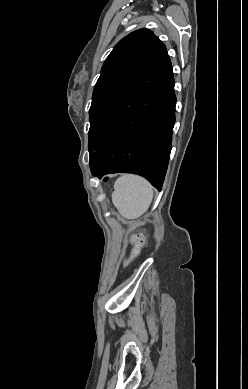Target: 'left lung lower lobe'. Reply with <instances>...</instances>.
Listing matches in <instances>:
<instances>
[{"mask_svg": "<svg viewBox=\"0 0 248 389\" xmlns=\"http://www.w3.org/2000/svg\"><path fill=\"white\" fill-rule=\"evenodd\" d=\"M176 96L172 65L165 51L94 122L107 139L89 156L93 175L124 172L145 177L161 190L171 152Z\"/></svg>", "mask_w": 248, "mask_h": 389, "instance_id": "0a47b994", "label": "left lung lower lobe"}]
</instances>
